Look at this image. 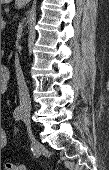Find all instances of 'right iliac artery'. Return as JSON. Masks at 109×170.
<instances>
[{
    "label": "right iliac artery",
    "mask_w": 109,
    "mask_h": 170,
    "mask_svg": "<svg viewBox=\"0 0 109 170\" xmlns=\"http://www.w3.org/2000/svg\"><path fill=\"white\" fill-rule=\"evenodd\" d=\"M22 107L18 106L16 107V109L14 110V118L15 120L19 121L22 119Z\"/></svg>",
    "instance_id": "obj_1"
}]
</instances>
